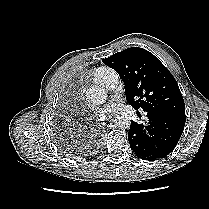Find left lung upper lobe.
<instances>
[{
    "mask_svg": "<svg viewBox=\"0 0 209 209\" xmlns=\"http://www.w3.org/2000/svg\"><path fill=\"white\" fill-rule=\"evenodd\" d=\"M125 84L126 98L136 110L185 116V104L170 71L149 51L132 47L102 60Z\"/></svg>",
    "mask_w": 209,
    "mask_h": 209,
    "instance_id": "left-lung-upper-lobe-1",
    "label": "left lung upper lobe"
}]
</instances>
